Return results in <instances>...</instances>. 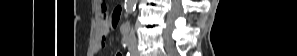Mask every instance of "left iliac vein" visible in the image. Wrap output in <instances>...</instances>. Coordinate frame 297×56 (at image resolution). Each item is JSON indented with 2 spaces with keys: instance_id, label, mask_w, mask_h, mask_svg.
Returning a JSON list of instances; mask_svg holds the SVG:
<instances>
[{
  "instance_id": "1",
  "label": "left iliac vein",
  "mask_w": 297,
  "mask_h": 56,
  "mask_svg": "<svg viewBox=\"0 0 297 56\" xmlns=\"http://www.w3.org/2000/svg\"><path fill=\"white\" fill-rule=\"evenodd\" d=\"M129 48H130L132 56H138V51H137V48H136L135 44L130 43Z\"/></svg>"
}]
</instances>
